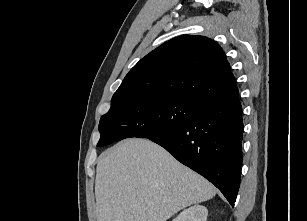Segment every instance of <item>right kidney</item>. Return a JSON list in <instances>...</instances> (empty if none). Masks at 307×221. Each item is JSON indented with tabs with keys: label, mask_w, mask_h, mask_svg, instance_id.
I'll return each mask as SVG.
<instances>
[{
	"label": "right kidney",
	"mask_w": 307,
	"mask_h": 221,
	"mask_svg": "<svg viewBox=\"0 0 307 221\" xmlns=\"http://www.w3.org/2000/svg\"><path fill=\"white\" fill-rule=\"evenodd\" d=\"M208 211L205 206L194 205L183 210L172 221H207Z\"/></svg>",
	"instance_id": "obj_1"
}]
</instances>
